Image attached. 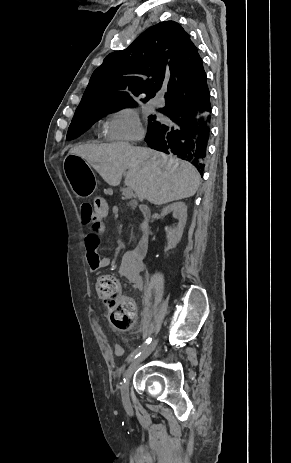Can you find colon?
I'll return each instance as SVG.
<instances>
[{"label": "colon", "mask_w": 291, "mask_h": 463, "mask_svg": "<svg viewBox=\"0 0 291 463\" xmlns=\"http://www.w3.org/2000/svg\"><path fill=\"white\" fill-rule=\"evenodd\" d=\"M82 219L85 224H90L97 217L107 216L105 201L97 197L92 202H86L81 206ZM96 290L99 298L108 306V313L112 324L119 330L129 329L136 318L134 302L122 295L120 283L114 275H101L96 282Z\"/></svg>", "instance_id": "5ec220e1"}]
</instances>
